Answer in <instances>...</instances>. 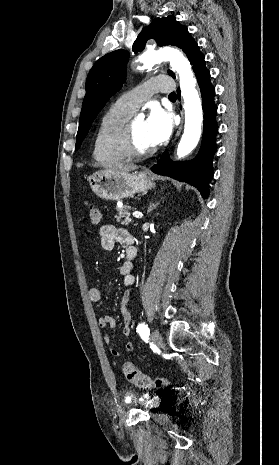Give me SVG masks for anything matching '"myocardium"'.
<instances>
[{
	"mask_svg": "<svg viewBox=\"0 0 279 465\" xmlns=\"http://www.w3.org/2000/svg\"><path fill=\"white\" fill-rule=\"evenodd\" d=\"M134 120L129 119L121 128L119 133L115 136L113 140V147L114 149L123 155L124 157L128 158H142L147 157L154 153L155 147H151L147 150H136L133 147L132 143V125Z\"/></svg>",
	"mask_w": 279,
	"mask_h": 465,
	"instance_id": "myocardium-1",
	"label": "myocardium"
}]
</instances>
